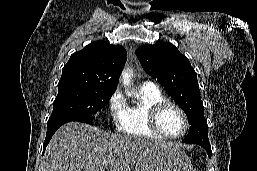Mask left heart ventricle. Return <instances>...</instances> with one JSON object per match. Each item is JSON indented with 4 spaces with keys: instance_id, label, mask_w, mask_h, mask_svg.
Segmentation results:
<instances>
[{
    "instance_id": "obj_1",
    "label": "left heart ventricle",
    "mask_w": 257,
    "mask_h": 171,
    "mask_svg": "<svg viewBox=\"0 0 257 171\" xmlns=\"http://www.w3.org/2000/svg\"><path fill=\"white\" fill-rule=\"evenodd\" d=\"M159 124L166 134L172 136L179 135L184 129L183 118L173 107H168L161 113Z\"/></svg>"
}]
</instances>
